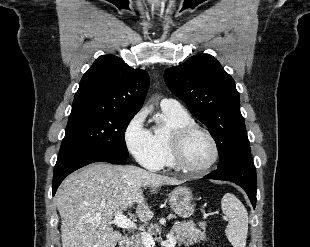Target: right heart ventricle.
Returning a JSON list of instances; mask_svg holds the SVG:
<instances>
[{
    "label": "right heart ventricle",
    "instance_id": "1",
    "mask_svg": "<svg viewBox=\"0 0 310 247\" xmlns=\"http://www.w3.org/2000/svg\"><path fill=\"white\" fill-rule=\"evenodd\" d=\"M162 111L165 123L162 126L154 127L152 132V138L159 161V166L155 170L165 166L175 167L171 152L172 132L179 126L195 123L194 119L185 110L173 111L169 109H162Z\"/></svg>",
    "mask_w": 310,
    "mask_h": 247
}]
</instances>
